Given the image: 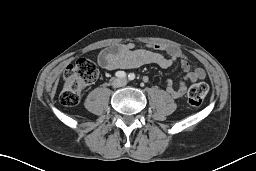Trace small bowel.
Instances as JSON below:
<instances>
[{
	"instance_id": "c3829d8e",
	"label": "small bowel",
	"mask_w": 256,
	"mask_h": 171,
	"mask_svg": "<svg viewBox=\"0 0 256 171\" xmlns=\"http://www.w3.org/2000/svg\"><path fill=\"white\" fill-rule=\"evenodd\" d=\"M176 61L180 62L185 76L176 87L171 80H167L166 92L177 99L184 96L187 89L186 82L194 83L206 77L204 69L191 63L179 48L163 43L150 44L148 47H136L133 43H123L104 49L98 56L100 67L108 71L137 69L152 64L168 70Z\"/></svg>"
}]
</instances>
